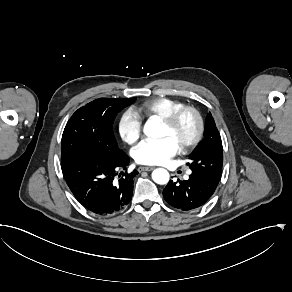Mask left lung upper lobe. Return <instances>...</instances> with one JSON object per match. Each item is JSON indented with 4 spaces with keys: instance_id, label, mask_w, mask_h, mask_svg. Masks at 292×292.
<instances>
[{
    "instance_id": "5c2ea615",
    "label": "left lung upper lobe",
    "mask_w": 292,
    "mask_h": 292,
    "mask_svg": "<svg viewBox=\"0 0 292 292\" xmlns=\"http://www.w3.org/2000/svg\"><path fill=\"white\" fill-rule=\"evenodd\" d=\"M189 160L187 165L193 174L220 180L223 166L222 141L211 113L206 117L204 138L189 155Z\"/></svg>"
}]
</instances>
